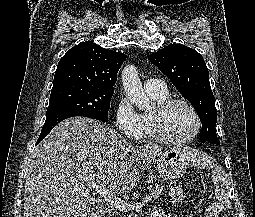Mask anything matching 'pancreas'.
I'll return each mask as SVG.
<instances>
[{
	"instance_id": "cf45deb5",
	"label": "pancreas",
	"mask_w": 255,
	"mask_h": 217,
	"mask_svg": "<svg viewBox=\"0 0 255 217\" xmlns=\"http://www.w3.org/2000/svg\"><path fill=\"white\" fill-rule=\"evenodd\" d=\"M163 187L162 184L155 183L154 186L150 188L149 198L150 200H156L160 194L162 193ZM107 217H125L123 214H121L117 209L113 207H109L106 210Z\"/></svg>"
}]
</instances>
